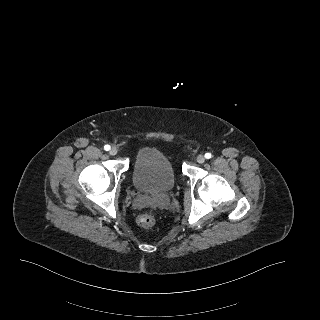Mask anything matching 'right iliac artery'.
<instances>
[{"label":"right iliac artery","mask_w":320,"mask_h":320,"mask_svg":"<svg viewBox=\"0 0 320 320\" xmlns=\"http://www.w3.org/2000/svg\"><path fill=\"white\" fill-rule=\"evenodd\" d=\"M104 149H105L106 151H109V150H110V146H109V145H105V146H104Z\"/></svg>","instance_id":"obj_1"}]
</instances>
